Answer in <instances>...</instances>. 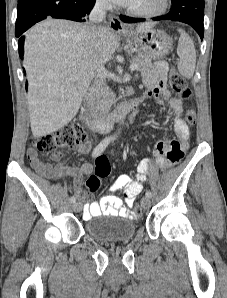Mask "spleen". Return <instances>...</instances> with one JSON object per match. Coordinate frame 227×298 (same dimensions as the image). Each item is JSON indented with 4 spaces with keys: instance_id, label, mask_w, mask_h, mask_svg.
Segmentation results:
<instances>
[{
    "instance_id": "obj_1",
    "label": "spleen",
    "mask_w": 227,
    "mask_h": 298,
    "mask_svg": "<svg viewBox=\"0 0 227 298\" xmlns=\"http://www.w3.org/2000/svg\"><path fill=\"white\" fill-rule=\"evenodd\" d=\"M178 31L180 33L177 47V54L180 58L178 71L182 76L190 79L193 77L196 65L195 47L193 40L183 29H179Z\"/></svg>"
}]
</instances>
